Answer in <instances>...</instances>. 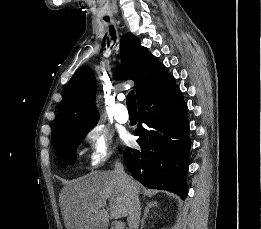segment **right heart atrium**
<instances>
[{
    "label": "right heart atrium",
    "instance_id": "obj_1",
    "mask_svg": "<svg viewBox=\"0 0 261 229\" xmlns=\"http://www.w3.org/2000/svg\"><path fill=\"white\" fill-rule=\"evenodd\" d=\"M87 139L90 147V165L97 167L111 155V136L102 125L95 124L88 130Z\"/></svg>",
    "mask_w": 261,
    "mask_h": 229
}]
</instances>
